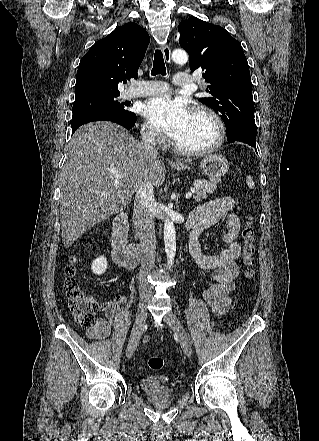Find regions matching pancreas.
<instances>
[{"label":"pancreas","instance_id":"1","mask_svg":"<svg viewBox=\"0 0 319 441\" xmlns=\"http://www.w3.org/2000/svg\"><path fill=\"white\" fill-rule=\"evenodd\" d=\"M220 182V179H196L193 183V188L195 190V200L199 202L202 199H206L209 194L213 193L216 190L217 184Z\"/></svg>","mask_w":319,"mask_h":441}]
</instances>
